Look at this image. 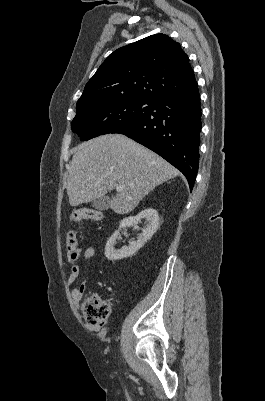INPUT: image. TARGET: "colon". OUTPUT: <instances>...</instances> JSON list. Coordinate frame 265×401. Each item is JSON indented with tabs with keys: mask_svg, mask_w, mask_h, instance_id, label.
Instances as JSON below:
<instances>
[{
	"mask_svg": "<svg viewBox=\"0 0 265 401\" xmlns=\"http://www.w3.org/2000/svg\"><path fill=\"white\" fill-rule=\"evenodd\" d=\"M102 214L99 211L79 208L71 213V219L74 222L83 220L99 221ZM66 247L68 253H73L77 249V238L73 231H69L66 238ZM82 313L90 325H102L110 315V305L98 295H91L85 298L81 305Z\"/></svg>",
	"mask_w": 265,
	"mask_h": 401,
	"instance_id": "obj_1",
	"label": "colon"
}]
</instances>
